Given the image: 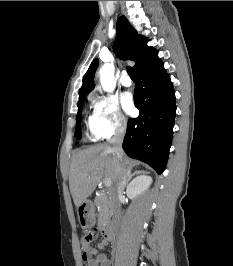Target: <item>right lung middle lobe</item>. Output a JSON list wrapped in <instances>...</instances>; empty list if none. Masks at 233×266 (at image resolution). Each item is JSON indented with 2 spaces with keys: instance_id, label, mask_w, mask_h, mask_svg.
<instances>
[{
  "instance_id": "1",
  "label": "right lung middle lobe",
  "mask_w": 233,
  "mask_h": 266,
  "mask_svg": "<svg viewBox=\"0 0 233 266\" xmlns=\"http://www.w3.org/2000/svg\"><path fill=\"white\" fill-rule=\"evenodd\" d=\"M84 98L79 99L78 102V113H77V122H76V130L75 137L77 139L81 138V115H82V106H83Z\"/></svg>"
}]
</instances>
